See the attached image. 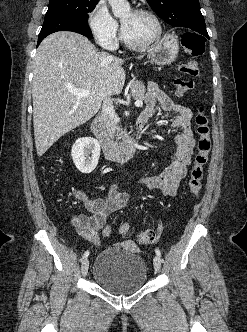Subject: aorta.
<instances>
[{"instance_id":"aorta-1","label":"aorta","mask_w":247,"mask_h":332,"mask_svg":"<svg viewBox=\"0 0 247 332\" xmlns=\"http://www.w3.org/2000/svg\"><path fill=\"white\" fill-rule=\"evenodd\" d=\"M112 12L116 17L123 16L130 11V5L126 0H108Z\"/></svg>"}]
</instances>
